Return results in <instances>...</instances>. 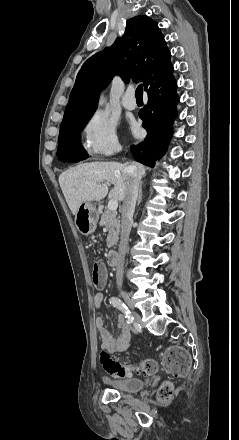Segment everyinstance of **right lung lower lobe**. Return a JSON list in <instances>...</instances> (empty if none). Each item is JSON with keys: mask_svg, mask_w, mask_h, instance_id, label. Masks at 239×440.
I'll return each mask as SVG.
<instances>
[{"mask_svg": "<svg viewBox=\"0 0 239 440\" xmlns=\"http://www.w3.org/2000/svg\"><path fill=\"white\" fill-rule=\"evenodd\" d=\"M173 66L152 78L146 85L148 105L141 111L142 126L147 130L144 142L131 145L130 150L135 160L153 167L156 160L164 154L171 138V129L177 116V84L173 77ZM59 160L78 162L88 158L80 144L57 153Z\"/></svg>", "mask_w": 239, "mask_h": 440, "instance_id": "right-lung-lower-lobe-1", "label": "right lung lower lobe"}]
</instances>
